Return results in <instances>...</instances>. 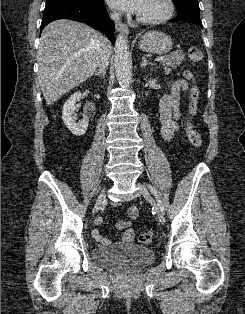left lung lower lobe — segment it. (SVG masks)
Returning a JSON list of instances; mask_svg holds the SVG:
<instances>
[{
	"label": "left lung lower lobe",
	"mask_w": 245,
	"mask_h": 314,
	"mask_svg": "<svg viewBox=\"0 0 245 314\" xmlns=\"http://www.w3.org/2000/svg\"><path fill=\"white\" fill-rule=\"evenodd\" d=\"M174 20H175V21H180V20H182V19L175 18ZM199 25H200V24H199ZM200 26L202 27V24H201Z\"/></svg>",
	"instance_id": "1"
}]
</instances>
